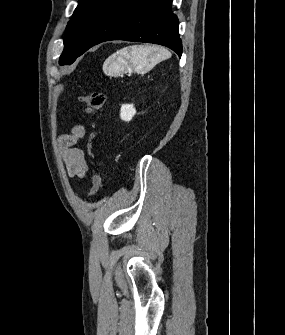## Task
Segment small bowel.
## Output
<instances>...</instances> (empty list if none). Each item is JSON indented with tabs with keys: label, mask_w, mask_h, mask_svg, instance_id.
<instances>
[{
	"label": "small bowel",
	"mask_w": 285,
	"mask_h": 335,
	"mask_svg": "<svg viewBox=\"0 0 285 335\" xmlns=\"http://www.w3.org/2000/svg\"><path fill=\"white\" fill-rule=\"evenodd\" d=\"M86 136V129L83 125H76L71 132L59 138L58 144L66 166L71 177H83L87 171V163L84 152L75 146L79 139Z\"/></svg>",
	"instance_id": "1"
}]
</instances>
